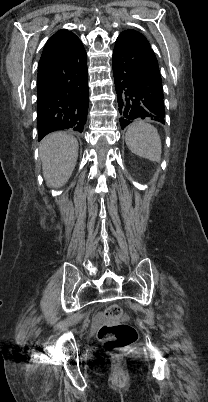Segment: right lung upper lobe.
<instances>
[{
    "mask_svg": "<svg viewBox=\"0 0 208 402\" xmlns=\"http://www.w3.org/2000/svg\"><path fill=\"white\" fill-rule=\"evenodd\" d=\"M71 33H72V32H70V31H68V30H66V29L59 30V31L56 32L53 36H51V37L49 38V40L47 41V43L53 42V41L57 40L58 38H60V37H62V36H64V35H67V34H71Z\"/></svg>",
    "mask_w": 208,
    "mask_h": 402,
    "instance_id": "obj_1",
    "label": "right lung upper lobe"
}]
</instances>
